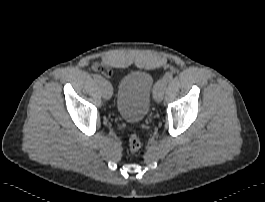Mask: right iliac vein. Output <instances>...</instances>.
I'll use <instances>...</instances> for the list:
<instances>
[{
    "label": "right iliac vein",
    "instance_id": "right-iliac-vein-1",
    "mask_svg": "<svg viewBox=\"0 0 265 202\" xmlns=\"http://www.w3.org/2000/svg\"><path fill=\"white\" fill-rule=\"evenodd\" d=\"M100 87H101L103 98L106 100L110 99L112 96V90H113L111 84L106 80H102L100 82Z\"/></svg>",
    "mask_w": 265,
    "mask_h": 202
}]
</instances>
